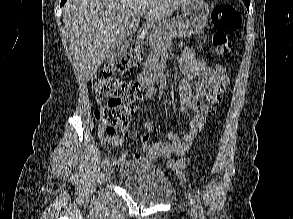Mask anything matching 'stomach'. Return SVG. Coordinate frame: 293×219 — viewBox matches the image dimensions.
<instances>
[{"instance_id": "obj_1", "label": "stomach", "mask_w": 293, "mask_h": 219, "mask_svg": "<svg viewBox=\"0 0 293 219\" xmlns=\"http://www.w3.org/2000/svg\"><path fill=\"white\" fill-rule=\"evenodd\" d=\"M211 9L204 0H187L182 4V15L187 29L194 35L201 34Z\"/></svg>"}]
</instances>
